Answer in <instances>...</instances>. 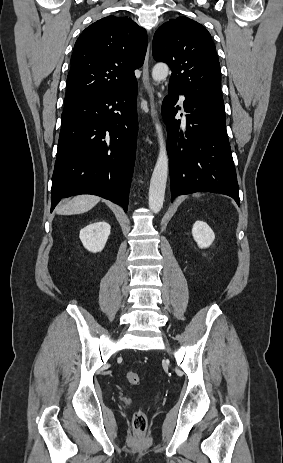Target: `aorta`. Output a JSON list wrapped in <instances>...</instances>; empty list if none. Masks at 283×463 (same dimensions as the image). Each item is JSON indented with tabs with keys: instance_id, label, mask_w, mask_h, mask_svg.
<instances>
[{
	"instance_id": "obj_1",
	"label": "aorta",
	"mask_w": 283,
	"mask_h": 463,
	"mask_svg": "<svg viewBox=\"0 0 283 463\" xmlns=\"http://www.w3.org/2000/svg\"><path fill=\"white\" fill-rule=\"evenodd\" d=\"M169 67L165 63H157L152 69V78L155 82H160L168 76ZM156 132L159 142V154L155 164L149 188V208L158 213L163 207L166 182L168 176V155L163 138L161 125L157 122Z\"/></svg>"
}]
</instances>
